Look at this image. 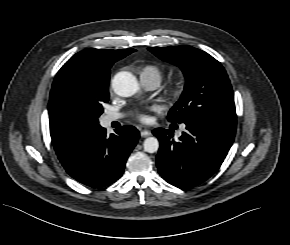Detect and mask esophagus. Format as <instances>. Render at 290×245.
<instances>
[{
	"mask_svg": "<svg viewBox=\"0 0 290 245\" xmlns=\"http://www.w3.org/2000/svg\"><path fill=\"white\" fill-rule=\"evenodd\" d=\"M140 134H141V137L145 138L151 135V131L148 129H143L141 130Z\"/></svg>",
	"mask_w": 290,
	"mask_h": 245,
	"instance_id": "1",
	"label": "esophagus"
}]
</instances>
